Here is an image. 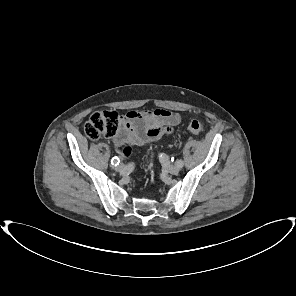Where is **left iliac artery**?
<instances>
[{
	"label": "left iliac artery",
	"instance_id": "1",
	"mask_svg": "<svg viewBox=\"0 0 296 296\" xmlns=\"http://www.w3.org/2000/svg\"><path fill=\"white\" fill-rule=\"evenodd\" d=\"M176 164L182 168L184 165V162H183V160L180 159L176 162Z\"/></svg>",
	"mask_w": 296,
	"mask_h": 296
}]
</instances>
